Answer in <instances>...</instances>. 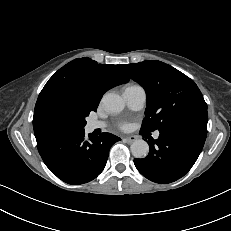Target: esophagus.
Returning a JSON list of instances; mask_svg holds the SVG:
<instances>
[{
    "mask_svg": "<svg viewBox=\"0 0 231 231\" xmlns=\"http://www.w3.org/2000/svg\"><path fill=\"white\" fill-rule=\"evenodd\" d=\"M124 140L127 142V143H132V142H134V141H136L137 140V137L136 136H127V137H125L124 138Z\"/></svg>",
    "mask_w": 231,
    "mask_h": 231,
    "instance_id": "1",
    "label": "esophagus"
}]
</instances>
